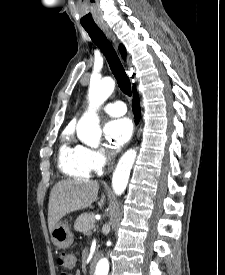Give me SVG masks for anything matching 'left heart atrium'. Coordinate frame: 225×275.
<instances>
[{
	"instance_id": "obj_1",
	"label": "left heart atrium",
	"mask_w": 225,
	"mask_h": 275,
	"mask_svg": "<svg viewBox=\"0 0 225 275\" xmlns=\"http://www.w3.org/2000/svg\"><path fill=\"white\" fill-rule=\"evenodd\" d=\"M133 126L128 118H118L109 121L104 128V134L113 148H119L131 138Z\"/></svg>"
}]
</instances>
